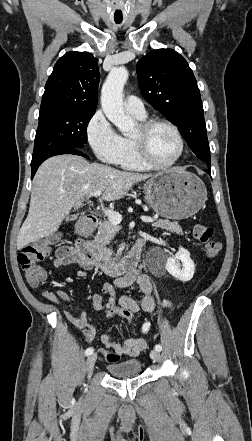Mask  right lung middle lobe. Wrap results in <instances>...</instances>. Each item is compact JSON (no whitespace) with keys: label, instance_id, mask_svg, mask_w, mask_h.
Instances as JSON below:
<instances>
[{"label":"right lung middle lobe","instance_id":"obj_1","mask_svg":"<svg viewBox=\"0 0 252 441\" xmlns=\"http://www.w3.org/2000/svg\"><path fill=\"white\" fill-rule=\"evenodd\" d=\"M94 113L63 107L40 109L32 162L54 151L84 147L87 125Z\"/></svg>","mask_w":252,"mask_h":441}]
</instances>
